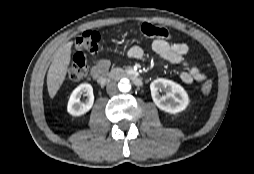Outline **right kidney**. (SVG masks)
<instances>
[{
  "label": "right kidney",
  "mask_w": 254,
  "mask_h": 174,
  "mask_svg": "<svg viewBox=\"0 0 254 174\" xmlns=\"http://www.w3.org/2000/svg\"><path fill=\"white\" fill-rule=\"evenodd\" d=\"M87 96L88 99L85 102H81V96ZM94 103L93 88L88 83L80 84L71 93L68 101L67 111L73 116H80L88 112Z\"/></svg>",
  "instance_id": "obj_1"
}]
</instances>
